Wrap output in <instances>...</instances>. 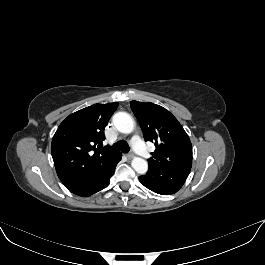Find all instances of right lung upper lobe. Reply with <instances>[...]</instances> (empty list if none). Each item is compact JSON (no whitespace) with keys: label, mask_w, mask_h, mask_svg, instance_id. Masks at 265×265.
<instances>
[{"label":"right lung upper lobe","mask_w":265,"mask_h":265,"mask_svg":"<svg viewBox=\"0 0 265 265\" xmlns=\"http://www.w3.org/2000/svg\"><path fill=\"white\" fill-rule=\"evenodd\" d=\"M118 102L94 104L69 115L53 136L51 153L57 175L69 187L119 153L101 149L104 129Z\"/></svg>","instance_id":"obj_1"}]
</instances>
